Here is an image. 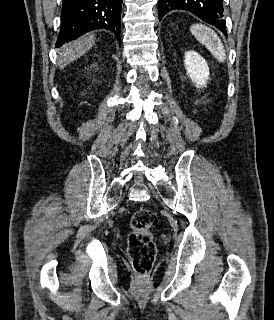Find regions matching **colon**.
Returning a JSON list of instances; mask_svg holds the SVG:
<instances>
[{
    "instance_id": "colon-1",
    "label": "colon",
    "mask_w": 274,
    "mask_h": 320,
    "mask_svg": "<svg viewBox=\"0 0 274 320\" xmlns=\"http://www.w3.org/2000/svg\"><path fill=\"white\" fill-rule=\"evenodd\" d=\"M156 218L153 211L137 210L130 218L128 253L134 269L145 274L151 271L156 255V246L150 228Z\"/></svg>"
}]
</instances>
